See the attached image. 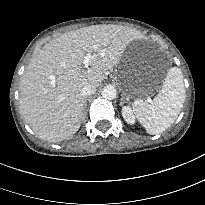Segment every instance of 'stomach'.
<instances>
[{
    "label": "stomach",
    "instance_id": "1",
    "mask_svg": "<svg viewBox=\"0 0 205 205\" xmlns=\"http://www.w3.org/2000/svg\"><path fill=\"white\" fill-rule=\"evenodd\" d=\"M140 75L133 53L127 51L115 71V79L125 94L132 97H143L153 93V85L143 81Z\"/></svg>",
    "mask_w": 205,
    "mask_h": 205
}]
</instances>
